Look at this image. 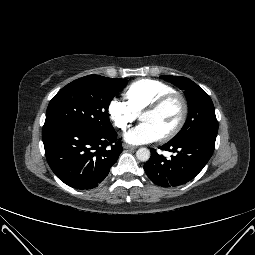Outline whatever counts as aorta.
<instances>
[{
	"label": "aorta",
	"mask_w": 255,
	"mask_h": 255,
	"mask_svg": "<svg viewBox=\"0 0 255 255\" xmlns=\"http://www.w3.org/2000/svg\"><path fill=\"white\" fill-rule=\"evenodd\" d=\"M150 156H151L150 150L145 147L139 148L136 151V157L139 161L146 162L149 160Z\"/></svg>",
	"instance_id": "aorta-1"
}]
</instances>
